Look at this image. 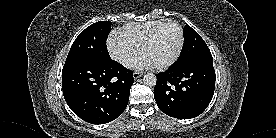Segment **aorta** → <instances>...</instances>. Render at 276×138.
<instances>
[{"label": "aorta", "mask_w": 276, "mask_h": 138, "mask_svg": "<svg viewBox=\"0 0 276 138\" xmlns=\"http://www.w3.org/2000/svg\"><path fill=\"white\" fill-rule=\"evenodd\" d=\"M144 84L147 86H155L157 82V77L153 73H147L143 77Z\"/></svg>", "instance_id": "obj_1"}]
</instances>
